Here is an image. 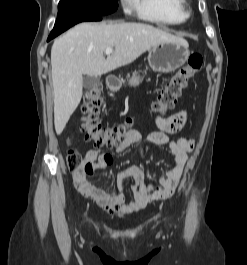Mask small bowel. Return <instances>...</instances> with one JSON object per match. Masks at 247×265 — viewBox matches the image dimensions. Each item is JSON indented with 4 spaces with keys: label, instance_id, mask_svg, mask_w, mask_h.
I'll return each instance as SVG.
<instances>
[{
    "label": "small bowel",
    "instance_id": "small-bowel-1",
    "mask_svg": "<svg viewBox=\"0 0 247 265\" xmlns=\"http://www.w3.org/2000/svg\"><path fill=\"white\" fill-rule=\"evenodd\" d=\"M158 131L149 133L144 139V147L141 157L146 158V148L152 145H167L174 154V164L168 170L165 177H159L157 185H147L145 173L142 167L130 165L124 168L116 176L117 191H107L88 180L94 169H105L113 162L110 154H102L98 149L87 151L80 170L72 173L74 186L78 192L95 201L100 207L110 214H129L137 212L155 200L166 199L172 196L180 182L182 172L187 163L189 153L194 148V141L179 137L173 139L172 134L179 132L188 121V110L182 109L169 116H156ZM141 136L133 131L128 139L118 148L119 153L126 151L132 144L140 141ZM90 170L86 171L85 167ZM131 179L132 198L129 199L124 190V182Z\"/></svg>",
    "mask_w": 247,
    "mask_h": 265
}]
</instances>
